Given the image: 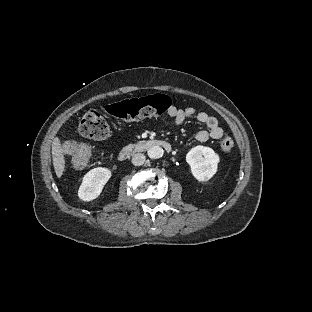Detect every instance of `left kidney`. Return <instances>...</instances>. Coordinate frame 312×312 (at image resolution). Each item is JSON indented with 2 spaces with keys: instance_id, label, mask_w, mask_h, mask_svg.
Instances as JSON below:
<instances>
[{
  "instance_id": "obj_1",
  "label": "left kidney",
  "mask_w": 312,
  "mask_h": 312,
  "mask_svg": "<svg viewBox=\"0 0 312 312\" xmlns=\"http://www.w3.org/2000/svg\"><path fill=\"white\" fill-rule=\"evenodd\" d=\"M192 176L200 183L211 180L219 170L221 157L212 148L198 145L186 155Z\"/></svg>"
}]
</instances>
